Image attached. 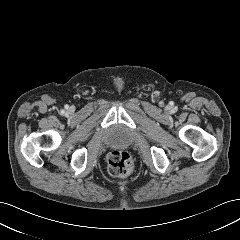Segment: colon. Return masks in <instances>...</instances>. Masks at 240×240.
I'll list each match as a JSON object with an SVG mask.
<instances>
[{"instance_id": "colon-1", "label": "colon", "mask_w": 240, "mask_h": 240, "mask_svg": "<svg viewBox=\"0 0 240 240\" xmlns=\"http://www.w3.org/2000/svg\"><path fill=\"white\" fill-rule=\"evenodd\" d=\"M109 173L115 177L129 176L135 168L134 160L126 151H112L107 158Z\"/></svg>"}]
</instances>
